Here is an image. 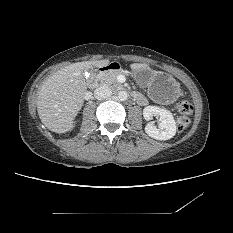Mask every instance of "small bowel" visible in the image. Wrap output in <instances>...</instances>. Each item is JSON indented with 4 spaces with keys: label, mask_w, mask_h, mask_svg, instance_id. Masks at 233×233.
Segmentation results:
<instances>
[{
    "label": "small bowel",
    "mask_w": 233,
    "mask_h": 233,
    "mask_svg": "<svg viewBox=\"0 0 233 233\" xmlns=\"http://www.w3.org/2000/svg\"><path fill=\"white\" fill-rule=\"evenodd\" d=\"M137 95H138V98L136 100L138 101V103L140 105H145L146 104V99L140 94H137Z\"/></svg>",
    "instance_id": "small-bowel-1"
}]
</instances>
